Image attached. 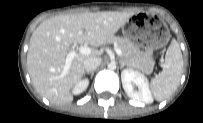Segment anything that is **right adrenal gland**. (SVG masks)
<instances>
[{
	"mask_svg": "<svg viewBox=\"0 0 203 123\" xmlns=\"http://www.w3.org/2000/svg\"><path fill=\"white\" fill-rule=\"evenodd\" d=\"M85 73H86V74H90V75H91V79L93 78L94 71H86Z\"/></svg>",
	"mask_w": 203,
	"mask_h": 123,
	"instance_id": "right-adrenal-gland-1",
	"label": "right adrenal gland"
}]
</instances>
